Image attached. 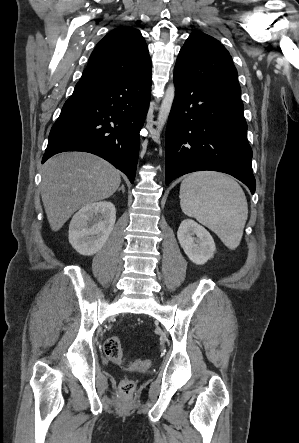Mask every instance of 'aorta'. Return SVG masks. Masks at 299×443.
<instances>
[{
    "label": "aorta",
    "mask_w": 299,
    "mask_h": 443,
    "mask_svg": "<svg viewBox=\"0 0 299 443\" xmlns=\"http://www.w3.org/2000/svg\"><path fill=\"white\" fill-rule=\"evenodd\" d=\"M174 97H175V86H174V84H170L166 89L161 106L159 108V113H158L157 123H156V134L157 135L160 134L165 123L167 122V119L170 114L172 104L174 101Z\"/></svg>",
    "instance_id": "762f6f07"
}]
</instances>
